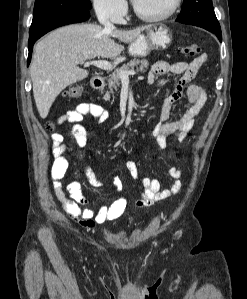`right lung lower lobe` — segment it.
Instances as JSON below:
<instances>
[{"label": "right lung lower lobe", "mask_w": 247, "mask_h": 299, "mask_svg": "<svg viewBox=\"0 0 247 299\" xmlns=\"http://www.w3.org/2000/svg\"><path fill=\"white\" fill-rule=\"evenodd\" d=\"M90 17V12L89 10H84V11H74L70 13H66L50 22L47 24L43 25L39 29L35 30L34 32L29 33V42H28V50H29V55H28V60L27 64L29 65L31 61V55H32V49L34 43L44 34L47 32L70 23H76V22H82L87 20Z\"/></svg>", "instance_id": "right-lung-lower-lobe-1"}]
</instances>
